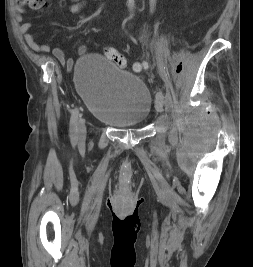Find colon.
Wrapping results in <instances>:
<instances>
[{
    "mask_svg": "<svg viewBox=\"0 0 253 267\" xmlns=\"http://www.w3.org/2000/svg\"><path fill=\"white\" fill-rule=\"evenodd\" d=\"M19 6H27L33 9H38L47 3V0H16ZM105 55L108 59L112 60L118 67L125 68L127 65L126 58L112 47L105 48ZM146 68L144 63H136L133 69L136 72L143 71Z\"/></svg>",
    "mask_w": 253,
    "mask_h": 267,
    "instance_id": "obj_1",
    "label": "colon"
}]
</instances>
